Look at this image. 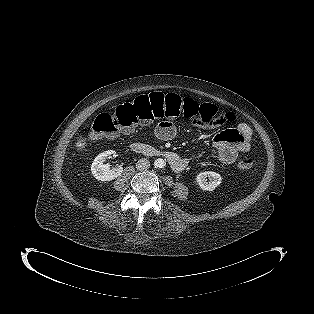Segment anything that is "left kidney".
I'll use <instances>...</instances> for the list:
<instances>
[{
    "label": "left kidney",
    "instance_id": "obj_1",
    "mask_svg": "<svg viewBox=\"0 0 314 314\" xmlns=\"http://www.w3.org/2000/svg\"><path fill=\"white\" fill-rule=\"evenodd\" d=\"M209 180H208V179ZM222 177L220 174L212 171L200 172L196 176L198 186L204 191H213L220 185Z\"/></svg>",
    "mask_w": 314,
    "mask_h": 314
}]
</instances>
